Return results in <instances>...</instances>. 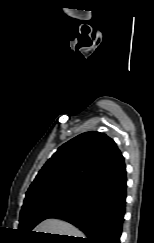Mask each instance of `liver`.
I'll return each mask as SVG.
<instances>
[{
  "label": "liver",
  "instance_id": "6515ba94",
  "mask_svg": "<svg viewBox=\"0 0 154 243\" xmlns=\"http://www.w3.org/2000/svg\"><path fill=\"white\" fill-rule=\"evenodd\" d=\"M36 232L82 237L83 233L73 225L58 219H46L34 229Z\"/></svg>",
  "mask_w": 154,
  "mask_h": 243
}]
</instances>
